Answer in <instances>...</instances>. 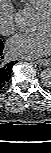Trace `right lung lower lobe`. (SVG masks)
<instances>
[{
	"instance_id": "1",
	"label": "right lung lower lobe",
	"mask_w": 51,
	"mask_h": 153,
	"mask_svg": "<svg viewBox=\"0 0 51 153\" xmlns=\"http://www.w3.org/2000/svg\"><path fill=\"white\" fill-rule=\"evenodd\" d=\"M4 45H0V89L9 81L11 77L12 67L16 62L4 63L2 51Z\"/></svg>"
}]
</instances>
